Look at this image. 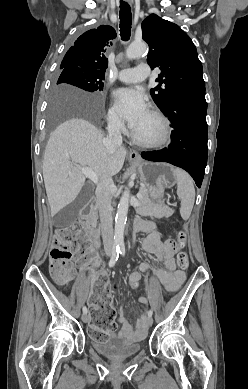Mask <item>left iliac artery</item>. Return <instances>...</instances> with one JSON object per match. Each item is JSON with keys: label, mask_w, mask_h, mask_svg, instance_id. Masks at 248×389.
I'll return each instance as SVG.
<instances>
[{"label": "left iliac artery", "mask_w": 248, "mask_h": 389, "mask_svg": "<svg viewBox=\"0 0 248 389\" xmlns=\"http://www.w3.org/2000/svg\"><path fill=\"white\" fill-rule=\"evenodd\" d=\"M119 252H120V254H121L122 256H124V255H125V248H124L123 246H121V247L119 248ZM152 314H153L152 310H149L148 316H149V317H152Z\"/></svg>", "instance_id": "obj_1"}]
</instances>
